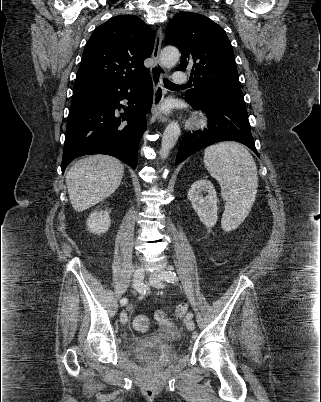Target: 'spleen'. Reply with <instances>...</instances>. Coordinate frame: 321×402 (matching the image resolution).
Wrapping results in <instances>:
<instances>
[{
	"instance_id": "1",
	"label": "spleen",
	"mask_w": 321,
	"mask_h": 402,
	"mask_svg": "<svg viewBox=\"0 0 321 402\" xmlns=\"http://www.w3.org/2000/svg\"><path fill=\"white\" fill-rule=\"evenodd\" d=\"M204 164L221 186L226 201L222 228L230 231L246 218L256 198L257 167L246 148L235 142H221L207 147Z\"/></svg>"
}]
</instances>
